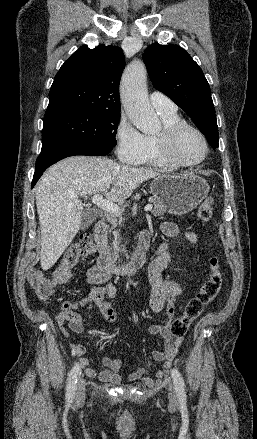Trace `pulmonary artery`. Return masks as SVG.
I'll return each mask as SVG.
<instances>
[{
  "instance_id": "obj_1",
  "label": "pulmonary artery",
  "mask_w": 257,
  "mask_h": 439,
  "mask_svg": "<svg viewBox=\"0 0 257 439\" xmlns=\"http://www.w3.org/2000/svg\"><path fill=\"white\" fill-rule=\"evenodd\" d=\"M150 102L159 113H174L177 110L175 103L159 91L150 94Z\"/></svg>"
}]
</instances>
